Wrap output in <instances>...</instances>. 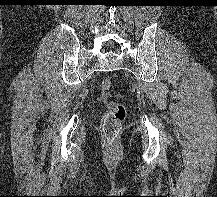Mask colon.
<instances>
[{
	"label": "colon",
	"instance_id": "obj_1",
	"mask_svg": "<svg viewBox=\"0 0 217 197\" xmlns=\"http://www.w3.org/2000/svg\"><path fill=\"white\" fill-rule=\"evenodd\" d=\"M111 88L112 81L110 79L101 81V91L105 97L110 95ZM125 118L126 108L122 104L116 102L107 103V111L102 119L101 130L108 143H112L119 136Z\"/></svg>",
	"mask_w": 217,
	"mask_h": 197
}]
</instances>
